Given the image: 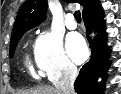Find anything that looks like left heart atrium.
<instances>
[{"mask_svg": "<svg viewBox=\"0 0 121 94\" xmlns=\"http://www.w3.org/2000/svg\"><path fill=\"white\" fill-rule=\"evenodd\" d=\"M67 50L72 60L77 63L82 62L87 56L85 42L83 38L77 33H72L68 36Z\"/></svg>", "mask_w": 121, "mask_h": 94, "instance_id": "39dd6f15", "label": "left heart atrium"}]
</instances>
